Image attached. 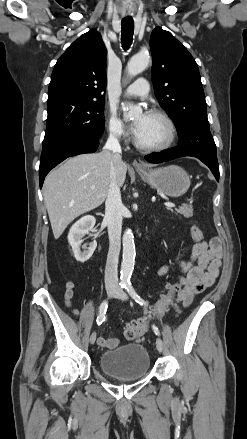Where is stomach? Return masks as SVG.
I'll list each match as a JSON object with an SVG mask.
<instances>
[{
  "label": "stomach",
  "mask_w": 247,
  "mask_h": 439,
  "mask_svg": "<svg viewBox=\"0 0 247 439\" xmlns=\"http://www.w3.org/2000/svg\"><path fill=\"white\" fill-rule=\"evenodd\" d=\"M137 172L150 186L170 197L182 196L187 192L191 183L187 172L177 165L147 168L137 170Z\"/></svg>",
  "instance_id": "obj_1"
}]
</instances>
